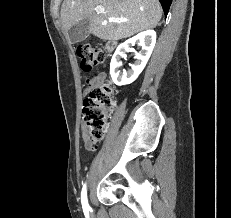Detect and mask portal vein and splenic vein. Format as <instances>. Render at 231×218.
<instances>
[{
    "label": "portal vein and splenic vein",
    "mask_w": 231,
    "mask_h": 218,
    "mask_svg": "<svg viewBox=\"0 0 231 218\" xmlns=\"http://www.w3.org/2000/svg\"><path fill=\"white\" fill-rule=\"evenodd\" d=\"M95 10L98 13H103L104 12V7L101 6V5H98V6L95 7ZM109 21L110 22H115V23H120V22L127 21V19H125V18H109Z\"/></svg>",
    "instance_id": "1"
}]
</instances>
